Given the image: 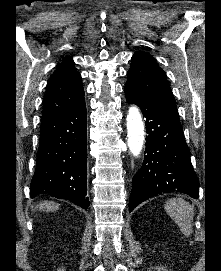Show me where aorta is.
<instances>
[{"instance_id":"obj_1","label":"aorta","mask_w":221,"mask_h":271,"mask_svg":"<svg viewBox=\"0 0 221 271\" xmlns=\"http://www.w3.org/2000/svg\"><path fill=\"white\" fill-rule=\"evenodd\" d=\"M128 147L133 156L140 155L144 143V123L139 108L132 105L126 118Z\"/></svg>"}]
</instances>
